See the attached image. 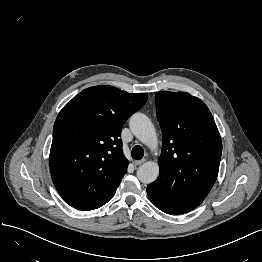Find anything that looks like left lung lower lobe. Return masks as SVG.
Here are the masks:
<instances>
[{"label":"left lung lower lobe","instance_id":"obj_1","mask_svg":"<svg viewBox=\"0 0 262 262\" xmlns=\"http://www.w3.org/2000/svg\"><path fill=\"white\" fill-rule=\"evenodd\" d=\"M152 201V203L157 207L159 208L160 210H162L163 212L167 213V214H170V215H177V213H174L172 211H169L167 209H165L161 204H159L158 202L150 199Z\"/></svg>","mask_w":262,"mask_h":262}]
</instances>
